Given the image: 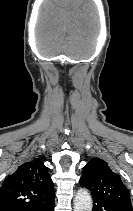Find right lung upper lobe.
Returning <instances> with one entry per match:
<instances>
[{"label":"right lung upper lobe","instance_id":"obj_1","mask_svg":"<svg viewBox=\"0 0 133 211\" xmlns=\"http://www.w3.org/2000/svg\"><path fill=\"white\" fill-rule=\"evenodd\" d=\"M55 197L53 182L40 159L25 162L0 187V211H31Z\"/></svg>","mask_w":133,"mask_h":211}]
</instances>
